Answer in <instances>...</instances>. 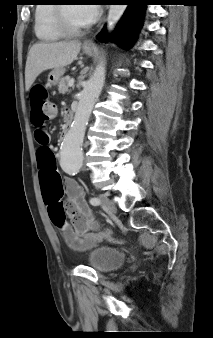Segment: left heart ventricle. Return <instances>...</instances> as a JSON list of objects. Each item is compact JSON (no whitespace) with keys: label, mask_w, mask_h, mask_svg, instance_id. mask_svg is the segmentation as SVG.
<instances>
[{"label":"left heart ventricle","mask_w":213,"mask_h":338,"mask_svg":"<svg viewBox=\"0 0 213 338\" xmlns=\"http://www.w3.org/2000/svg\"><path fill=\"white\" fill-rule=\"evenodd\" d=\"M65 14L72 27L79 29L87 26V24L79 16L78 9L75 5H67L65 8Z\"/></svg>","instance_id":"left-heart-ventricle-1"}]
</instances>
